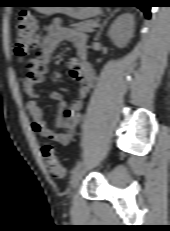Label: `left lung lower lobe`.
<instances>
[{
    "instance_id": "1",
    "label": "left lung lower lobe",
    "mask_w": 170,
    "mask_h": 231,
    "mask_svg": "<svg viewBox=\"0 0 170 231\" xmlns=\"http://www.w3.org/2000/svg\"><path fill=\"white\" fill-rule=\"evenodd\" d=\"M99 2L111 7H138L146 18H150L151 0H99Z\"/></svg>"
}]
</instances>
